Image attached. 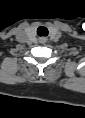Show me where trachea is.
I'll return each instance as SVG.
<instances>
[{"mask_svg": "<svg viewBox=\"0 0 85 118\" xmlns=\"http://www.w3.org/2000/svg\"><path fill=\"white\" fill-rule=\"evenodd\" d=\"M48 33V30L46 27H43V26H40L38 29H37V34L39 36H46Z\"/></svg>", "mask_w": 85, "mask_h": 118, "instance_id": "3493384b", "label": "trachea"}]
</instances>
